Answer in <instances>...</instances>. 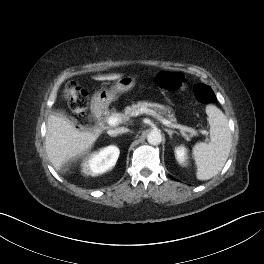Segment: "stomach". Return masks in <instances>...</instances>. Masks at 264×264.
Masks as SVG:
<instances>
[{
    "label": "stomach",
    "mask_w": 264,
    "mask_h": 264,
    "mask_svg": "<svg viewBox=\"0 0 264 264\" xmlns=\"http://www.w3.org/2000/svg\"><path fill=\"white\" fill-rule=\"evenodd\" d=\"M135 86L133 77H123L117 80L109 90L101 89L95 93L93 100L100 107L108 106L112 101L118 99L121 93L131 90Z\"/></svg>",
    "instance_id": "1"
}]
</instances>
